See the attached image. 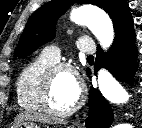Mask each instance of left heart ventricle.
I'll return each mask as SVG.
<instances>
[{
    "label": "left heart ventricle",
    "instance_id": "left-heart-ventricle-1",
    "mask_svg": "<svg viewBox=\"0 0 142 128\" xmlns=\"http://www.w3.org/2000/svg\"><path fill=\"white\" fill-rule=\"evenodd\" d=\"M78 96V84L75 76L68 71L56 73L51 86V103L59 110L70 108Z\"/></svg>",
    "mask_w": 142,
    "mask_h": 128
}]
</instances>
